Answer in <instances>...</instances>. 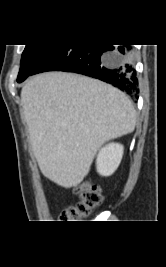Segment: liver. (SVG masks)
I'll return each mask as SVG.
<instances>
[{
    "label": "liver",
    "mask_w": 166,
    "mask_h": 267,
    "mask_svg": "<svg viewBox=\"0 0 166 267\" xmlns=\"http://www.w3.org/2000/svg\"><path fill=\"white\" fill-rule=\"evenodd\" d=\"M21 103L42 174L64 188L77 186L107 141L132 133L129 98L101 81L64 72L31 78Z\"/></svg>",
    "instance_id": "liver-1"
}]
</instances>
